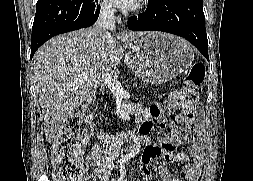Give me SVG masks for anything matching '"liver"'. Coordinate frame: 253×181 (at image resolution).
I'll list each match as a JSON object with an SVG mask.
<instances>
[{
	"label": "liver",
	"instance_id": "6515ba94",
	"mask_svg": "<svg viewBox=\"0 0 253 181\" xmlns=\"http://www.w3.org/2000/svg\"><path fill=\"white\" fill-rule=\"evenodd\" d=\"M148 32H129L107 39L95 26L58 35L42 45L32 61V82L44 115V132L50 143L78 107L93 95L102 72L115 71L123 57L122 42Z\"/></svg>",
	"mask_w": 253,
	"mask_h": 181
}]
</instances>
